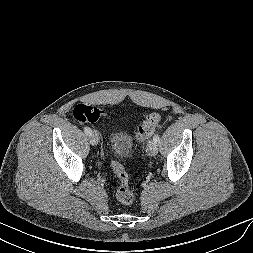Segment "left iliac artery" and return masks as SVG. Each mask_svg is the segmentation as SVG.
Returning <instances> with one entry per match:
<instances>
[{
    "instance_id": "1",
    "label": "left iliac artery",
    "mask_w": 253,
    "mask_h": 253,
    "mask_svg": "<svg viewBox=\"0 0 253 253\" xmlns=\"http://www.w3.org/2000/svg\"><path fill=\"white\" fill-rule=\"evenodd\" d=\"M153 141L158 144L160 142V135L159 134H155L154 137H153Z\"/></svg>"
}]
</instances>
